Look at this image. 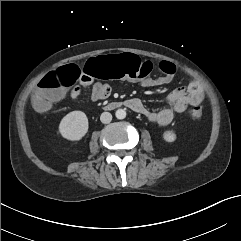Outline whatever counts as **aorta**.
<instances>
[{
	"label": "aorta",
	"instance_id": "obj_1",
	"mask_svg": "<svg viewBox=\"0 0 241 241\" xmlns=\"http://www.w3.org/2000/svg\"><path fill=\"white\" fill-rule=\"evenodd\" d=\"M115 116L117 119H124L126 117V111L124 109H118L115 112Z\"/></svg>",
	"mask_w": 241,
	"mask_h": 241
}]
</instances>
